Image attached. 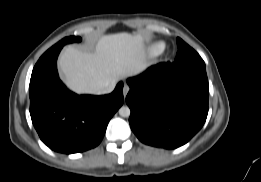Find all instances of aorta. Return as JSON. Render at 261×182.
<instances>
[{"mask_svg":"<svg viewBox=\"0 0 261 182\" xmlns=\"http://www.w3.org/2000/svg\"><path fill=\"white\" fill-rule=\"evenodd\" d=\"M119 115L121 117H129L130 116V109L128 106H122L120 109H119Z\"/></svg>","mask_w":261,"mask_h":182,"instance_id":"762f6f07","label":"aorta"}]
</instances>
